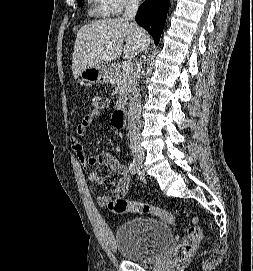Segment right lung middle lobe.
Listing matches in <instances>:
<instances>
[{
	"label": "right lung middle lobe",
	"mask_w": 253,
	"mask_h": 271,
	"mask_svg": "<svg viewBox=\"0 0 253 271\" xmlns=\"http://www.w3.org/2000/svg\"><path fill=\"white\" fill-rule=\"evenodd\" d=\"M78 5H79L80 7L83 6L82 0H78Z\"/></svg>",
	"instance_id": "right-lung-middle-lobe-1"
}]
</instances>
